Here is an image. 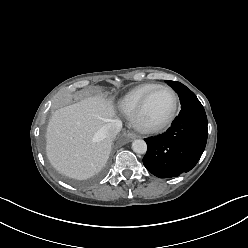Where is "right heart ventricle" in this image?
Masks as SVG:
<instances>
[{
	"label": "right heart ventricle",
	"mask_w": 248,
	"mask_h": 248,
	"mask_svg": "<svg viewBox=\"0 0 248 248\" xmlns=\"http://www.w3.org/2000/svg\"><path fill=\"white\" fill-rule=\"evenodd\" d=\"M154 85L156 84H142L128 91L119 101V107L121 111L128 116H132L136 108L138 107L142 97Z\"/></svg>",
	"instance_id": "e07e8e85"
}]
</instances>
